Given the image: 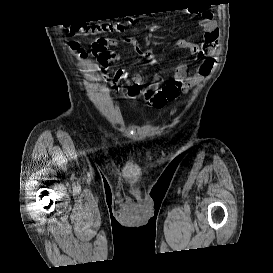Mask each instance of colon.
<instances>
[{
  "label": "colon",
  "mask_w": 273,
  "mask_h": 273,
  "mask_svg": "<svg viewBox=\"0 0 273 273\" xmlns=\"http://www.w3.org/2000/svg\"><path fill=\"white\" fill-rule=\"evenodd\" d=\"M126 24L123 21L108 22V23H97V24H86V25H76L73 28V32L77 33L83 31L85 33L96 34L101 32H116L123 31ZM70 47L75 51L77 57H83L84 53L80 50L78 45L73 43L70 44Z\"/></svg>",
  "instance_id": "obj_1"
}]
</instances>
